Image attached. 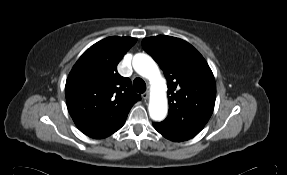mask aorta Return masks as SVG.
Wrapping results in <instances>:
<instances>
[{
  "label": "aorta",
  "mask_w": 287,
  "mask_h": 175,
  "mask_svg": "<svg viewBox=\"0 0 287 175\" xmlns=\"http://www.w3.org/2000/svg\"><path fill=\"white\" fill-rule=\"evenodd\" d=\"M132 65L139 75L153 82V93L148 106L151 119L164 120L168 112L166 81L161 76L156 62L149 55L138 53L134 56Z\"/></svg>",
  "instance_id": "1"
}]
</instances>
